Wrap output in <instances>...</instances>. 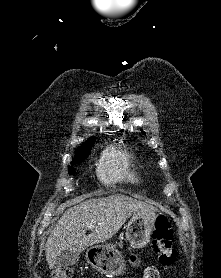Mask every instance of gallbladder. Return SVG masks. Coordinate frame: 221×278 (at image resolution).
<instances>
[{"label":"gallbladder","instance_id":"gallbladder-1","mask_svg":"<svg viewBox=\"0 0 221 278\" xmlns=\"http://www.w3.org/2000/svg\"><path fill=\"white\" fill-rule=\"evenodd\" d=\"M80 259V254L69 250L63 251L57 258L55 264L61 267H68L76 264Z\"/></svg>","mask_w":221,"mask_h":278}]
</instances>
